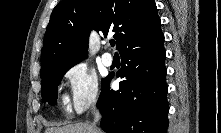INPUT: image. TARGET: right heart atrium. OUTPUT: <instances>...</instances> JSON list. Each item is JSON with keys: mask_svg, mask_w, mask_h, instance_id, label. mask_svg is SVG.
<instances>
[{"mask_svg": "<svg viewBox=\"0 0 221 133\" xmlns=\"http://www.w3.org/2000/svg\"><path fill=\"white\" fill-rule=\"evenodd\" d=\"M64 79L69 89L68 105L75 113L81 114L98 104V77L85 62L70 66L64 73Z\"/></svg>", "mask_w": 221, "mask_h": 133, "instance_id": "1", "label": "right heart atrium"}]
</instances>
